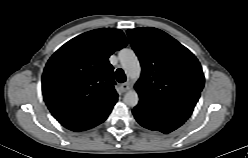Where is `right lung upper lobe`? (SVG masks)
I'll list each match as a JSON object with an SVG mask.
<instances>
[{
	"mask_svg": "<svg viewBox=\"0 0 248 158\" xmlns=\"http://www.w3.org/2000/svg\"><path fill=\"white\" fill-rule=\"evenodd\" d=\"M126 45L121 30L96 29L71 39L52 55L43 72L42 92L60 124L78 132L108 117L118 100L108 58Z\"/></svg>",
	"mask_w": 248,
	"mask_h": 158,
	"instance_id": "obj_1",
	"label": "right lung upper lobe"
}]
</instances>
